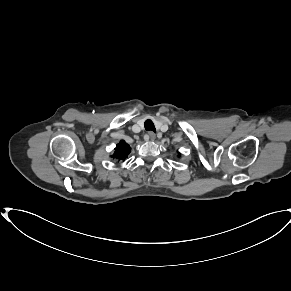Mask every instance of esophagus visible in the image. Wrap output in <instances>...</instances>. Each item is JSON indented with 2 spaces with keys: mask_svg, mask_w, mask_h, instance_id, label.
Segmentation results:
<instances>
[{
  "mask_svg": "<svg viewBox=\"0 0 291 291\" xmlns=\"http://www.w3.org/2000/svg\"><path fill=\"white\" fill-rule=\"evenodd\" d=\"M148 136H149V139H150V140H154V139L156 138L155 133L152 132V131H150V132L148 133Z\"/></svg>",
  "mask_w": 291,
  "mask_h": 291,
  "instance_id": "esophagus-1",
  "label": "esophagus"
}]
</instances>
